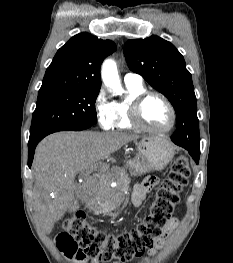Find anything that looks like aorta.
<instances>
[{"instance_id": "obj_1", "label": "aorta", "mask_w": 233, "mask_h": 263, "mask_svg": "<svg viewBox=\"0 0 233 263\" xmlns=\"http://www.w3.org/2000/svg\"><path fill=\"white\" fill-rule=\"evenodd\" d=\"M101 77L104 84L111 88L116 95H122L123 88L120 83L117 65L114 60L107 59L104 61L101 70Z\"/></svg>"}]
</instances>
